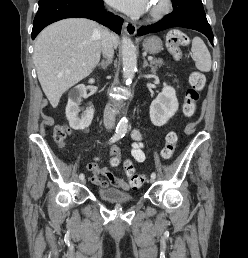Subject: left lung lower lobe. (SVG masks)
I'll list each match as a JSON object with an SVG mask.
<instances>
[{
	"instance_id": "obj_1",
	"label": "left lung lower lobe",
	"mask_w": 248,
	"mask_h": 258,
	"mask_svg": "<svg viewBox=\"0 0 248 258\" xmlns=\"http://www.w3.org/2000/svg\"><path fill=\"white\" fill-rule=\"evenodd\" d=\"M171 27H184L197 30L206 35L213 45V33L206 19L203 5H190L174 8L173 12L166 15L155 24L141 27L137 35L156 33Z\"/></svg>"
}]
</instances>
